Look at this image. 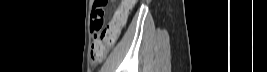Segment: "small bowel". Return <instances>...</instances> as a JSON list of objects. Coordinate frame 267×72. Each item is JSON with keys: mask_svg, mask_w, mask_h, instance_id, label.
<instances>
[{"mask_svg": "<svg viewBox=\"0 0 267 72\" xmlns=\"http://www.w3.org/2000/svg\"><path fill=\"white\" fill-rule=\"evenodd\" d=\"M134 2L135 1L133 0H123L118 8L122 11V13L121 14L114 13L111 23L117 24L119 28L121 29L126 23L128 14L134 6Z\"/></svg>", "mask_w": 267, "mask_h": 72, "instance_id": "1", "label": "small bowel"}]
</instances>
